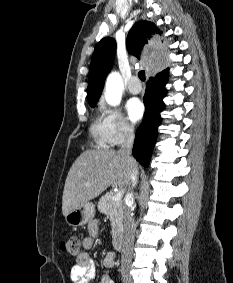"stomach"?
Returning <instances> with one entry per match:
<instances>
[{
    "mask_svg": "<svg viewBox=\"0 0 233 283\" xmlns=\"http://www.w3.org/2000/svg\"><path fill=\"white\" fill-rule=\"evenodd\" d=\"M95 216V206L91 202H87L82 206L70 211L65 216V221L70 226H82L88 223Z\"/></svg>",
    "mask_w": 233,
    "mask_h": 283,
    "instance_id": "0dacf381",
    "label": "stomach"
}]
</instances>
